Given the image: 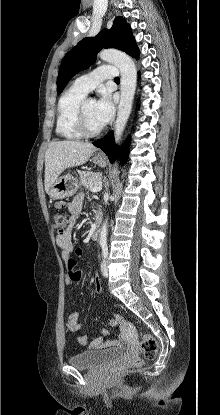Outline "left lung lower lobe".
<instances>
[{"mask_svg":"<svg viewBox=\"0 0 220 415\" xmlns=\"http://www.w3.org/2000/svg\"><path fill=\"white\" fill-rule=\"evenodd\" d=\"M93 145L100 148V149H102L105 152V154L108 156L110 162L113 163V161H114V159H115V157L118 153V148L115 147L113 132H110L104 138L94 142ZM128 146H129V141L126 142L125 146L123 147V149L121 151V155L123 157V160H125L128 156V153H129Z\"/></svg>","mask_w":220,"mask_h":415,"instance_id":"1","label":"left lung lower lobe"}]
</instances>
